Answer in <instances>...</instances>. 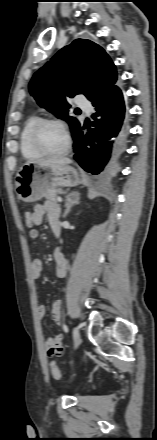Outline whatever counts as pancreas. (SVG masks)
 I'll return each mask as SVG.
<instances>
[{
    "label": "pancreas",
    "instance_id": "cf45deb5",
    "mask_svg": "<svg viewBox=\"0 0 157 440\" xmlns=\"http://www.w3.org/2000/svg\"><path fill=\"white\" fill-rule=\"evenodd\" d=\"M60 192H61V190L56 189V190H54L52 193H50L49 195H47V196H46V199H47L48 201L52 202V203H57V200H56V194H57V193H60Z\"/></svg>",
    "mask_w": 157,
    "mask_h": 440
}]
</instances>
